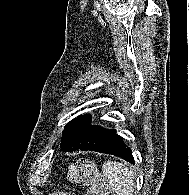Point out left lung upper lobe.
Segmentation results:
<instances>
[{
    "mask_svg": "<svg viewBox=\"0 0 189 195\" xmlns=\"http://www.w3.org/2000/svg\"><path fill=\"white\" fill-rule=\"evenodd\" d=\"M90 119H91V116L88 114L84 116H79L73 119L71 122H69L63 130L60 146H63L66 143H68L72 139V137L78 132V130L84 124H86Z\"/></svg>",
    "mask_w": 189,
    "mask_h": 195,
    "instance_id": "obj_1",
    "label": "left lung upper lobe"
}]
</instances>
